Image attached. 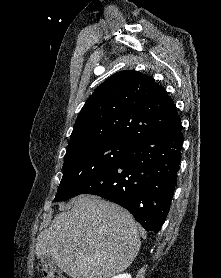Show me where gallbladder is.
I'll return each instance as SVG.
<instances>
[{
	"instance_id": "gallbladder-1",
	"label": "gallbladder",
	"mask_w": 221,
	"mask_h": 278,
	"mask_svg": "<svg viewBox=\"0 0 221 278\" xmlns=\"http://www.w3.org/2000/svg\"><path fill=\"white\" fill-rule=\"evenodd\" d=\"M41 263L46 266H53L55 264L54 259L49 255H43L41 257Z\"/></svg>"
}]
</instances>
